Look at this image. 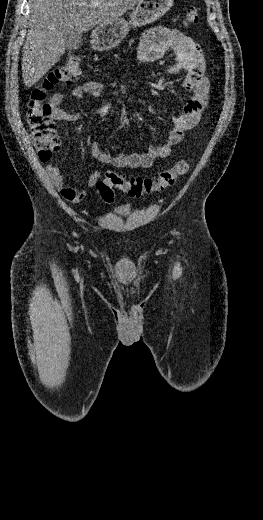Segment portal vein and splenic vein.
Wrapping results in <instances>:
<instances>
[{"label": "portal vein and splenic vein", "mask_w": 263, "mask_h": 520, "mask_svg": "<svg viewBox=\"0 0 263 520\" xmlns=\"http://www.w3.org/2000/svg\"><path fill=\"white\" fill-rule=\"evenodd\" d=\"M99 5H100L99 2H94L91 6H93V7H97V6H99Z\"/></svg>", "instance_id": "obj_1"}]
</instances>
